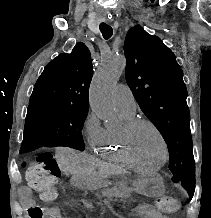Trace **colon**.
I'll list each match as a JSON object with an SVG mask.
<instances>
[{
	"instance_id": "5ec220e1",
	"label": "colon",
	"mask_w": 211,
	"mask_h": 218,
	"mask_svg": "<svg viewBox=\"0 0 211 218\" xmlns=\"http://www.w3.org/2000/svg\"><path fill=\"white\" fill-rule=\"evenodd\" d=\"M60 169L53 156L42 151L38 153L35 160L27 166L26 180L28 185L39 193L40 197L45 201L55 200L58 196V179ZM157 208L162 212H172L177 206V200L173 198H161L156 203ZM29 218H48V212L39 207L32 206L28 210Z\"/></svg>"
}]
</instances>
